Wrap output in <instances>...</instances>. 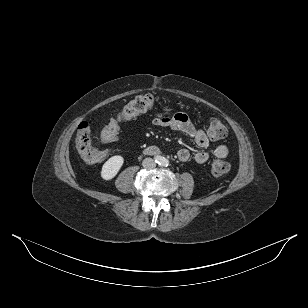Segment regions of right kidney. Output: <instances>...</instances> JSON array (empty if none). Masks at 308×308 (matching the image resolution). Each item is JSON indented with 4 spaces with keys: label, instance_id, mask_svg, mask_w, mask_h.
<instances>
[{
    "label": "right kidney",
    "instance_id": "ca27d5eb",
    "mask_svg": "<svg viewBox=\"0 0 308 308\" xmlns=\"http://www.w3.org/2000/svg\"><path fill=\"white\" fill-rule=\"evenodd\" d=\"M123 163L124 158L122 156L116 155L109 158L102 167L101 177L107 181L111 180L117 175Z\"/></svg>",
    "mask_w": 308,
    "mask_h": 308
}]
</instances>
